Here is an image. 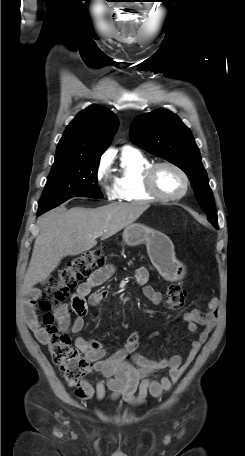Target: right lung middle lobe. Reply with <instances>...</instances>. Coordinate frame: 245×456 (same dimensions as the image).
I'll use <instances>...</instances> for the list:
<instances>
[{"instance_id": "1", "label": "right lung middle lobe", "mask_w": 245, "mask_h": 456, "mask_svg": "<svg viewBox=\"0 0 245 456\" xmlns=\"http://www.w3.org/2000/svg\"><path fill=\"white\" fill-rule=\"evenodd\" d=\"M100 159H71L54 163L42 194L38 212L44 213L72 197L102 198L97 184Z\"/></svg>"}]
</instances>
